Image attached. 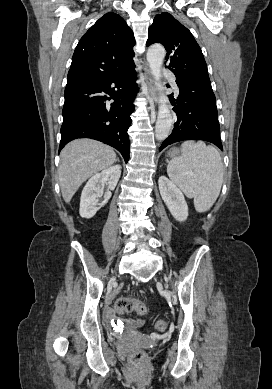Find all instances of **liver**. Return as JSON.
Wrapping results in <instances>:
<instances>
[{"label":"liver","mask_w":272,"mask_h":389,"mask_svg":"<svg viewBox=\"0 0 272 389\" xmlns=\"http://www.w3.org/2000/svg\"><path fill=\"white\" fill-rule=\"evenodd\" d=\"M116 161L114 150L91 139H77L61 152L59 181L63 199L69 203L81 184Z\"/></svg>","instance_id":"1"}]
</instances>
